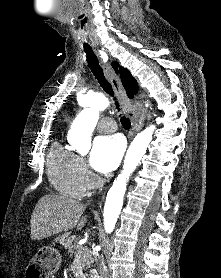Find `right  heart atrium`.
Masks as SVG:
<instances>
[{
  "mask_svg": "<svg viewBox=\"0 0 221 278\" xmlns=\"http://www.w3.org/2000/svg\"><path fill=\"white\" fill-rule=\"evenodd\" d=\"M80 166H81L83 172L85 173V171H86V166H85V164H84V162H83L82 160H80Z\"/></svg>",
  "mask_w": 221,
  "mask_h": 278,
  "instance_id": "1",
  "label": "right heart atrium"
}]
</instances>
